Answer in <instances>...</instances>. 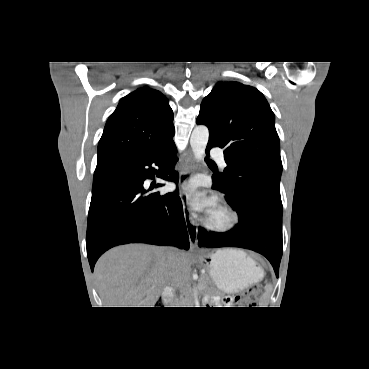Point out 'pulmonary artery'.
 I'll return each instance as SVG.
<instances>
[{
    "label": "pulmonary artery",
    "mask_w": 369,
    "mask_h": 369,
    "mask_svg": "<svg viewBox=\"0 0 369 369\" xmlns=\"http://www.w3.org/2000/svg\"><path fill=\"white\" fill-rule=\"evenodd\" d=\"M211 155L217 160V162L219 163V165L221 167H225L226 166L224 155H223V153H222V151L220 149L213 148L211 150Z\"/></svg>",
    "instance_id": "e3ab8cb5"
}]
</instances>
